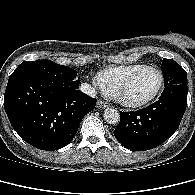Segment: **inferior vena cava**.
<instances>
[{"label":"inferior vena cava","mask_w":195,"mask_h":195,"mask_svg":"<svg viewBox=\"0 0 195 195\" xmlns=\"http://www.w3.org/2000/svg\"><path fill=\"white\" fill-rule=\"evenodd\" d=\"M80 91H82L83 93H85L91 97L96 96L95 89L88 83H82L80 86Z\"/></svg>","instance_id":"inferior-vena-cava-1"}]
</instances>
